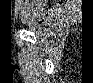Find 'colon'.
Instances as JSON below:
<instances>
[{
	"label": "colon",
	"instance_id": "obj_1",
	"mask_svg": "<svg viewBox=\"0 0 93 83\" xmlns=\"http://www.w3.org/2000/svg\"><path fill=\"white\" fill-rule=\"evenodd\" d=\"M50 3H54L55 7L45 8V7H34L32 9H22V12L31 16L29 20L31 21H46L47 17H54L59 14L64 13L67 10V5H71L72 1H49ZM39 1H22V6L24 4H37Z\"/></svg>",
	"mask_w": 93,
	"mask_h": 83
}]
</instances>
